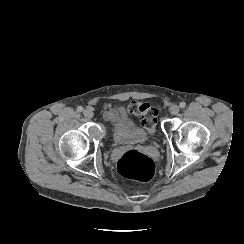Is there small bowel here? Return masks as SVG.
<instances>
[{
  "mask_svg": "<svg viewBox=\"0 0 244 244\" xmlns=\"http://www.w3.org/2000/svg\"><path fill=\"white\" fill-rule=\"evenodd\" d=\"M120 110L121 109L119 107L106 104L104 106L105 119L110 121L118 130L131 129L133 127V122L128 118L122 117L120 115Z\"/></svg>",
  "mask_w": 244,
  "mask_h": 244,
  "instance_id": "obj_1",
  "label": "small bowel"
}]
</instances>
